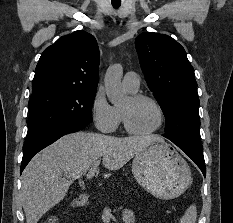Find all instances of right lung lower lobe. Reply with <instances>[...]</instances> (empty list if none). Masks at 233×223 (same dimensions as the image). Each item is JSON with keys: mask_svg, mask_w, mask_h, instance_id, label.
<instances>
[{"mask_svg": "<svg viewBox=\"0 0 233 223\" xmlns=\"http://www.w3.org/2000/svg\"><path fill=\"white\" fill-rule=\"evenodd\" d=\"M88 124H85L83 122H70L62 125L60 128L57 130L49 133L46 135L43 139L35 143L33 146L28 148L27 150L24 151V155L22 158V164L20 168V173L24 170L26 165L29 163V161L32 159V157L38 153L40 150L43 148L47 147L48 145L52 144L56 140H58L60 137L63 135L77 132L81 129H83L85 126Z\"/></svg>", "mask_w": 233, "mask_h": 223, "instance_id": "98d812e1", "label": "right lung lower lobe"}]
</instances>
